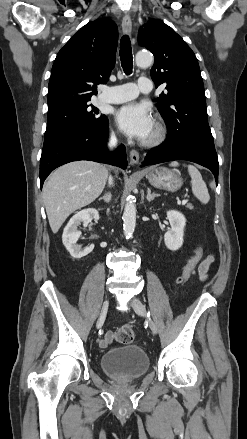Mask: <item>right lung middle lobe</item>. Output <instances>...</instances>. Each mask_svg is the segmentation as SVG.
Returning <instances> with one entry per match:
<instances>
[{
    "label": "right lung middle lobe",
    "mask_w": 247,
    "mask_h": 439,
    "mask_svg": "<svg viewBox=\"0 0 247 439\" xmlns=\"http://www.w3.org/2000/svg\"><path fill=\"white\" fill-rule=\"evenodd\" d=\"M89 101H68L49 109L44 140L59 134L96 129L104 125L107 117L99 114L98 109Z\"/></svg>",
    "instance_id": "obj_1"
}]
</instances>
